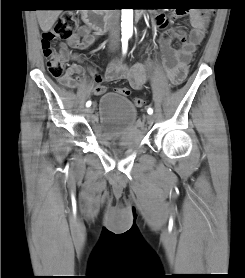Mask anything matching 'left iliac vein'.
I'll list each match as a JSON object with an SVG mask.
<instances>
[{
  "label": "left iliac vein",
  "instance_id": "obj_1",
  "mask_svg": "<svg viewBox=\"0 0 245 278\" xmlns=\"http://www.w3.org/2000/svg\"><path fill=\"white\" fill-rule=\"evenodd\" d=\"M154 120H155V117L153 115H151V114L147 115V117H146L147 124L152 125L154 123Z\"/></svg>",
  "mask_w": 245,
  "mask_h": 278
}]
</instances>
